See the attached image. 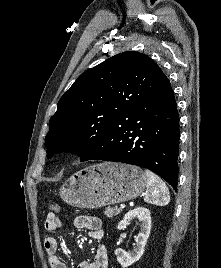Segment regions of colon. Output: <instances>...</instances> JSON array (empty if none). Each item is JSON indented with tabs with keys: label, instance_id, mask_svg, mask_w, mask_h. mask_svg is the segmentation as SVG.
Returning <instances> with one entry per match:
<instances>
[{
	"label": "colon",
	"instance_id": "5ec220e1",
	"mask_svg": "<svg viewBox=\"0 0 221 268\" xmlns=\"http://www.w3.org/2000/svg\"><path fill=\"white\" fill-rule=\"evenodd\" d=\"M49 210H50V214L56 215L60 211V206L58 203L53 202L52 204H50Z\"/></svg>",
	"mask_w": 221,
	"mask_h": 268
}]
</instances>
